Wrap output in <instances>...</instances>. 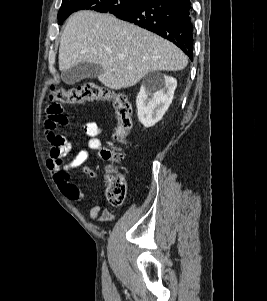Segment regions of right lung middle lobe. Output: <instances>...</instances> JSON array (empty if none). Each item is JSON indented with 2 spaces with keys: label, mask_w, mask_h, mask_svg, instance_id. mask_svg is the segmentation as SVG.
<instances>
[{
  "label": "right lung middle lobe",
  "mask_w": 267,
  "mask_h": 301,
  "mask_svg": "<svg viewBox=\"0 0 267 301\" xmlns=\"http://www.w3.org/2000/svg\"><path fill=\"white\" fill-rule=\"evenodd\" d=\"M143 0H63L58 12V21L61 24L71 13L78 10H95L117 14L133 8Z\"/></svg>",
  "instance_id": "obj_1"
}]
</instances>
